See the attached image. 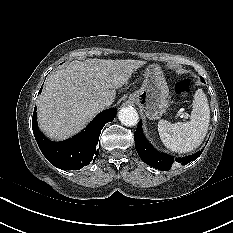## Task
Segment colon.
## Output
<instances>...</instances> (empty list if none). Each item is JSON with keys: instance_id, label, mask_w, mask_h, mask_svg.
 <instances>
[{"instance_id": "1", "label": "colon", "mask_w": 233, "mask_h": 233, "mask_svg": "<svg viewBox=\"0 0 233 233\" xmlns=\"http://www.w3.org/2000/svg\"><path fill=\"white\" fill-rule=\"evenodd\" d=\"M192 83L190 79H180L175 83L174 89L177 94L186 96L190 93Z\"/></svg>"}]
</instances>
